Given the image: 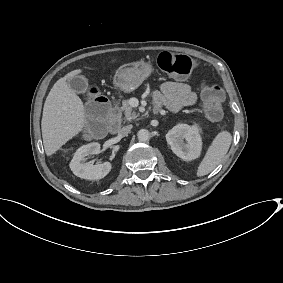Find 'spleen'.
I'll use <instances>...</instances> for the list:
<instances>
[{
	"label": "spleen",
	"instance_id": "spleen-1",
	"mask_svg": "<svg viewBox=\"0 0 283 283\" xmlns=\"http://www.w3.org/2000/svg\"><path fill=\"white\" fill-rule=\"evenodd\" d=\"M231 141L232 136L229 132L222 131L217 134L198 167L197 176L209 174L220 164L229 150Z\"/></svg>",
	"mask_w": 283,
	"mask_h": 283
}]
</instances>
